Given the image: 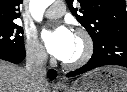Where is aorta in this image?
<instances>
[{
    "mask_svg": "<svg viewBox=\"0 0 127 92\" xmlns=\"http://www.w3.org/2000/svg\"><path fill=\"white\" fill-rule=\"evenodd\" d=\"M53 0H30L29 9L32 17L36 21H41L44 11L51 5Z\"/></svg>",
    "mask_w": 127,
    "mask_h": 92,
    "instance_id": "obj_1",
    "label": "aorta"
}]
</instances>
